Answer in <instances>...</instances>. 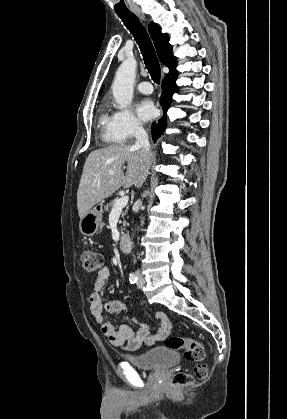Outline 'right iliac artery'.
<instances>
[{
  "mask_svg": "<svg viewBox=\"0 0 287 419\" xmlns=\"http://www.w3.org/2000/svg\"><path fill=\"white\" fill-rule=\"evenodd\" d=\"M129 281H130L131 284L137 283L138 277H137L136 273H134V272L133 273H130V275H129Z\"/></svg>",
  "mask_w": 287,
  "mask_h": 419,
  "instance_id": "obj_1",
  "label": "right iliac artery"
}]
</instances>
